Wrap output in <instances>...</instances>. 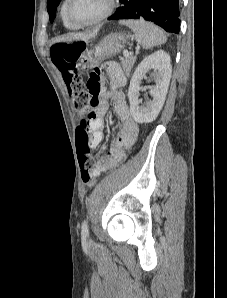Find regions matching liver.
<instances>
[{
    "label": "liver",
    "instance_id": "1",
    "mask_svg": "<svg viewBox=\"0 0 227 298\" xmlns=\"http://www.w3.org/2000/svg\"><path fill=\"white\" fill-rule=\"evenodd\" d=\"M97 33H98V29L90 33H77V34H71V35L59 37L55 41L56 42H60V41L70 42L74 40L88 41L89 39L95 37Z\"/></svg>",
    "mask_w": 227,
    "mask_h": 298
}]
</instances>
